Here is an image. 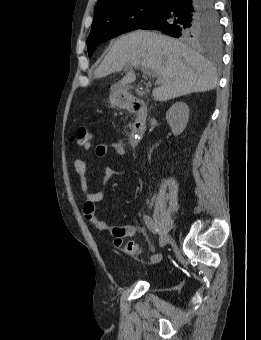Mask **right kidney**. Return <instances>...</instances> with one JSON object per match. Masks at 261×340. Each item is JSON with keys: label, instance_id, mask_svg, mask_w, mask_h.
<instances>
[{"label": "right kidney", "instance_id": "1", "mask_svg": "<svg viewBox=\"0 0 261 340\" xmlns=\"http://www.w3.org/2000/svg\"><path fill=\"white\" fill-rule=\"evenodd\" d=\"M166 119L175 136L180 135L189 119V107L185 102L179 101L173 104L166 113Z\"/></svg>", "mask_w": 261, "mask_h": 340}]
</instances>
